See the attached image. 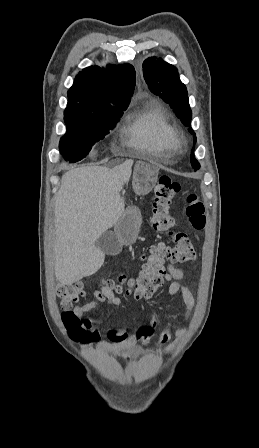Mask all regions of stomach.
Masks as SVG:
<instances>
[{
    "label": "stomach",
    "mask_w": 259,
    "mask_h": 448,
    "mask_svg": "<svg viewBox=\"0 0 259 448\" xmlns=\"http://www.w3.org/2000/svg\"><path fill=\"white\" fill-rule=\"evenodd\" d=\"M141 220L142 213L139 212L138 206H125L124 212L121 213V218L114 228L118 240L124 246L134 244L139 234Z\"/></svg>",
    "instance_id": "stomach-1"
}]
</instances>
